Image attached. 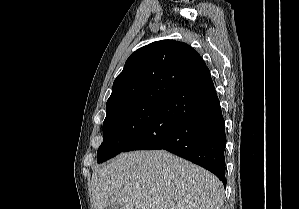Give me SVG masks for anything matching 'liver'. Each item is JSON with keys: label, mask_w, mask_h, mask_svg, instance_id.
<instances>
[{"label": "liver", "mask_w": 299, "mask_h": 209, "mask_svg": "<svg viewBox=\"0 0 299 209\" xmlns=\"http://www.w3.org/2000/svg\"><path fill=\"white\" fill-rule=\"evenodd\" d=\"M93 209H222L224 189L209 171L165 150L133 151L97 168Z\"/></svg>", "instance_id": "6515ba94"}]
</instances>
